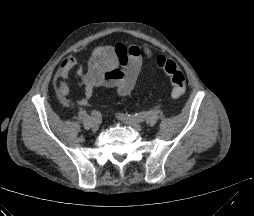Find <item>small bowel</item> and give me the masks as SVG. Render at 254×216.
Instances as JSON below:
<instances>
[{"instance_id":"small-bowel-1","label":"small bowel","mask_w":254,"mask_h":216,"mask_svg":"<svg viewBox=\"0 0 254 216\" xmlns=\"http://www.w3.org/2000/svg\"><path fill=\"white\" fill-rule=\"evenodd\" d=\"M153 60V52L147 45L116 43L98 46L86 69H72L79 60L75 56L66 57L55 74V87L59 101L70 104V89L67 80L74 77L84 86V96L77 99L81 106L88 105L96 87L114 88L119 97H125L133 90L140 73L143 60Z\"/></svg>"}]
</instances>
